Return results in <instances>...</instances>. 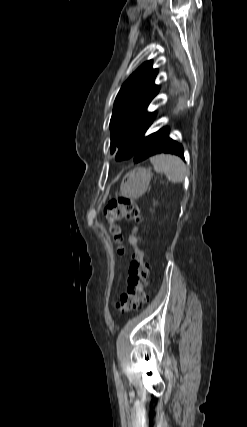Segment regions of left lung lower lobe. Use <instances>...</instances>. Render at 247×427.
Segmentation results:
<instances>
[{
    "label": "left lung lower lobe",
    "instance_id": "1",
    "mask_svg": "<svg viewBox=\"0 0 247 427\" xmlns=\"http://www.w3.org/2000/svg\"><path fill=\"white\" fill-rule=\"evenodd\" d=\"M160 153H171L180 156L184 160V151L181 144L169 137V128L164 127L141 140L133 161L141 162Z\"/></svg>",
    "mask_w": 247,
    "mask_h": 427
}]
</instances>
